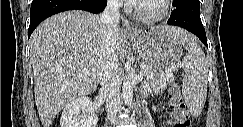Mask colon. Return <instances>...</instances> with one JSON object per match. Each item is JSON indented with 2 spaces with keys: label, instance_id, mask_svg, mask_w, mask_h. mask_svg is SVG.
<instances>
[{
  "label": "colon",
  "instance_id": "5ec220e1",
  "mask_svg": "<svg viewBox=\"0 0 243 127\" xmlns=\"http://www.w3.org/2000/svg\"><path fill=\"white\" fill-rule=\"evenodd\" d=\"M169 102L172 107L169 113L168 124L172 127L190 126V115L183 102L179 87L173 84L169 89Z\"/></svg>",
  "mask_w": 243,
  "mask_h": 127
}]
</instances>
